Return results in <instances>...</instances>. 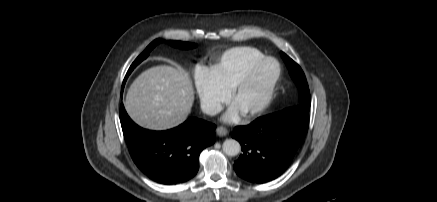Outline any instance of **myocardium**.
I'll list each match as a JSON object with an SVG mask.
<instances>
[{
	"mask_svg": "<svg viewBox=\"0 0 437 202\" xmlns=\"http://www.w3.org/2000/svg\"><path fill=\"white\" fill-rule=\"evenodd\" d=\"M268 62H272L275 64L276 66V71L275 74L272 78V80L270 81L268 88L266 90V93L263 97V99L260 101V103L254 107L251 110L246 111L245 113H243L245 118H254L259 116L260 114H262L267 108L268 106L271 104L278 83L280 81L281 78V73H282V69H281V65L278 62V60H276L273 57H264L256 62H254L248 69L247 71L244 73V75L239 79V81L235 84V86L232 88L231 91V99L234 102L236 100V98L239 96V94L247 87V85L251 82V80L253 79V77L255 76L257 70L263 66L264 64L268 63Z\"/></svg>",
	"mask_w": 437,
	"mask_h": 202,
	"instance_id": "1",
	"label": "myocardium"
}]
</instances>
